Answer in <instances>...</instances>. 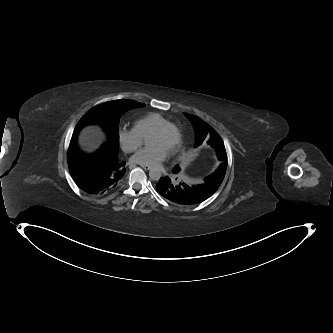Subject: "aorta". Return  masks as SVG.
<instances>
[{
	"mask_svg": "<svg viewBox=\"0 0 333 333\" xmlns=\"http://www.w3.org/2000/svg\"><path fill=\"white\" fill-rule=\"evenodd\" d=\"M149 177L152 179V180H159L160 177H161V172L157 169H151L149 171Z\"/></svg>",
	"mask_w": 333,
	"mask_h": 333,
	"instance_id": "aorta-1",
	"label": "aorta"
}]
</instances>
